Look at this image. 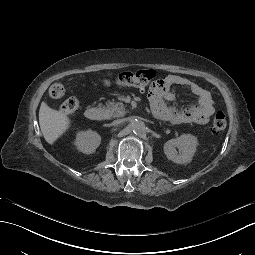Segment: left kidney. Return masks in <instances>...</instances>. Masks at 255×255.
<instances>
[{
  "mask_svg": "<svg viewBox=\"0 0 255 255\" xmlns=\"http://www.w3.org/2000/svg\"><path fill=\"white\" fill-rule=\"evenodd\" d=\"M197 146V139L191 135H181L170 139L164 144L165 155L174 163L183 164L189 162ZM178 149V151H177Z\"/></svg>",
  "mask_w": 255,
  "mask_h": 255,
  "instance_id": "left-kidney-1",
  "label": "left kidney"
}]
</instances>
